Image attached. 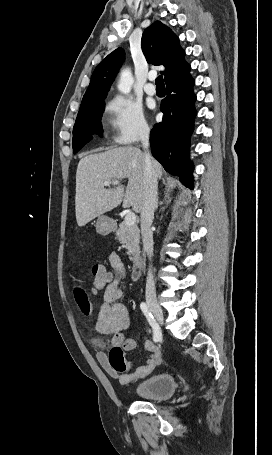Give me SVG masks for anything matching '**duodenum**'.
Instances as JSON below:
<instances>
[{"label": "duodenum", "mask_w": 272, "mask_h": 455, "mask_svg": "<svg viewBox=\"0 0 272 455\" xmlns=\"http://www.w3.org/2000/svg\"><path fill=\"white\" fill-rule=\"evenodd\" d=\"M143 268V259L141 256H137L134 259L133 266H132V279L137 280L139 279Z\"/></svg>", "instance_id": "1"}]
</instances>
